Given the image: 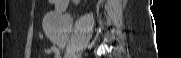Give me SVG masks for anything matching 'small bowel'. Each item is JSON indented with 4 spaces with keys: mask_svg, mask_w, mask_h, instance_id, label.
Returning <instances> with one entry per match:
<instances>
[{
    "mask_svg": "<svg viewBox=\"0 0 181 58\" xmlns=\"http://www.w3.org/2000/svg\"><path fill=\"white\" fill-rule=\"evenodd\" d=\"M43 52L46 53V54H54L55 58H60V50L55 45H52L49 48L44 49Z\"/></svg>",
    "mask_w": 181,
    "mask_h": 58,
    "instance_id": "c3829d8e",
    "label": "small bowel"
}]
</instances>
